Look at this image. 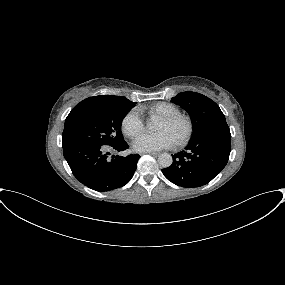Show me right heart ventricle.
I'll return each mask as SVG.
<instances>
[{
    "mask_svg": "<svg viewBox=\"0 0 285 285\" xmlns=\"http://www.w3.org/2000/svg\"><path fill=\"white\" fill-rule=\"evenodd\" d=\"M141 111L146 112L151 117L158 118L180 113V109L176 105L167 102L154 103L148 107L141 108Z\"/></svg>",
    "mask_w": 285,
    "mask_h": 285,
    "instance_id": "obj_1",
    "label": "right heart ventricle"
}]
</instances>
